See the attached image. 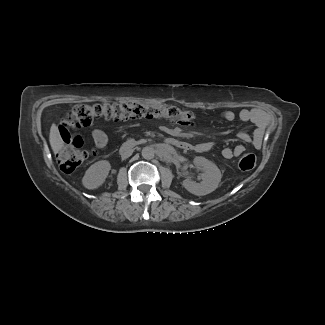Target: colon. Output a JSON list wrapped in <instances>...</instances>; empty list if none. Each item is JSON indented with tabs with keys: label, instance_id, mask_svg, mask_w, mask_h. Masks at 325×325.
Listing matches in <instances>:
<instances>
[{
	"label": "colon",
	"instance_id": "colon-1",
	"mask_svg": "<svg viewBox=\"0 0 325 325\" xmlns=\"http://www.w3.org/2000/svg\"><path fill=\"white\" fill-rule=\"evenodd\" d=\"M96 118H105L112 121H126L140 118H165L180 124H190L194 116L189 111H184L173 105L164 103H104V104H79L73 107L66 115V121L77 128L91 125ZM91 155L89 151L71 146H65L56 154L60 169L71 173L81 166ZM256 156L246 152L238 160L241 170H251L256 165Z\"/></svg>",
	"mask_w": 325,
	"mask_h": 325
}]
</instances>
